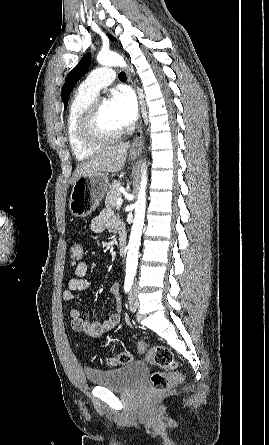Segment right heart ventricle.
Wrapping results in <instances>:
<instances>
[{
  "label": "right heart ventricle",
  "mask_w": 269,
  "mask_h": 445,
  "mask_svg": "<svg viewBox=\"0 0 269 445\" xmlns=\"http://www.w3.org/2000/svg\"><path fill=\"white\" fill-rule=\"evenodd\" d=\"M94 99L95 96L89 95L79 89L72 98L69 105L67 114L66 135L72 154L78 161L89 159L101 148V146L85 145L79 139L76 132L77 122L80 115L86 109V107L94 101Z\"/></svg>",
  "instance_id": "e07e8e85"
}]
</instances>
